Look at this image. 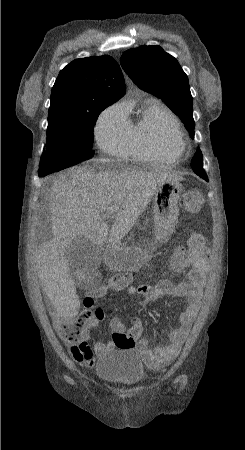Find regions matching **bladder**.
I'll use <instances>...</instances> for the list:
<instances>
[{"mask_svg":"<svg viewBox=\"0 0 245 450\" xmlns=\"http://www.w3.org/2000/svg\"><path fill=\"white\" fill-rule=\"evenodd\" d=\"M97 368L103 382L124 390L136 388L145 378L144 367L130 347L105 355L97 362Z\"/></svg>","mask_w":245,"mask_h":450,"instance_id":"bladder-1","label":"bladder"}]
</instances>
